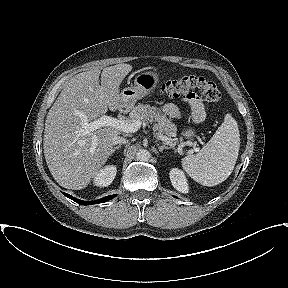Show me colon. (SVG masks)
I'll use <instances>...</instances> for the list:
<instances>
[{
  "label": "colon",
  "mask_w": 288,
  "mask_h": 288,
  "mask_svg": "<svg viewBox=\"0 0 288 288\" xmlns=\"http://www.w3.org/2000/svg\"><path fill=\"white\" fill-rule=\"evenodd\" d=\"M194 90L199 91L208 102H217L221 98L220 90L214 82L195 75L169 80L160 87L161 93L168 97L186 96Z\"/></svg>",
  "instance_id": "1"
}]
</instances>
